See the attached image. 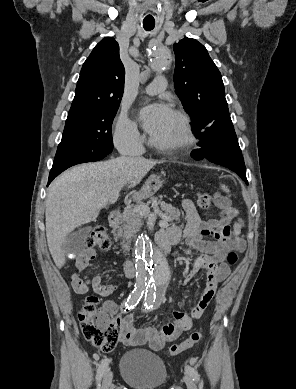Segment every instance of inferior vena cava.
Listing matches in <instances>:
<instances>
[{
    "instance_id": "1",
    "label": "inferior vena cava",
    "mask_w": 296,
    "mask_h": 389,
    "mask_svg": "<svg viewBox=\"0 0 296 389\" xmlns=\"http://www.w3.org/2000/svg\"><path fill=\"white\" fill-rule=\"evenodd\" d=\"M143 152V146L138 142V140L133 139L126 151V154L130 157H140Z\"/></svg>"
}]
</instances>
